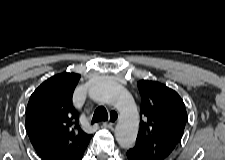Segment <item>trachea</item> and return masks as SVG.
Here are the masks:
<instances>
[{
	"mask_svg": "<svg viewBox=\"0 0 225 160\" xmlns=\"http://www.w3.org/2000/svg\"><path fill=\"white\" fill-rule=\"evenodd\" d=\"M108 113L105 107L99 106L96 108L91 123L99 122V121H107Z\"/></svg>",
	"mask_w": 225,
	"mask_h": 160,
	"instance_id": "3493384b",
	"label": "trachea"
}]
</instances>
